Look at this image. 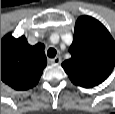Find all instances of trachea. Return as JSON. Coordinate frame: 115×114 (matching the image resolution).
I'll use <instances>...</instances> for the list:
<instances>
[{
	"instance_id": "3493384b",
	"label": "trachea",
	"mask_w": 115,
	"mask_h": 114,
	"mask_svg": "<svg viewBox=\"0 0 115 114\" xmlns=\"http://www.w3.org/2000/svg\"><path fill=\"white\" fill-rule=\"evenodd\" d=\"M57 54V51L54 48H49L47 51V55L50 58H54Z\"/></svg>"
}]
</instances>
